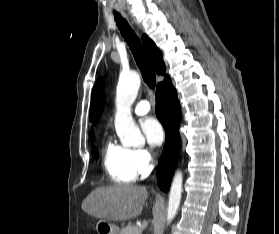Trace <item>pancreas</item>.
I'll list each match as a JSON object with an SVG mask.
<instances>
[{"label": "pancreas", "instance_id": "cf45deb5", "mask_svg": "<svg viewBox=\"0 0 279 234\" xmlns=\"http://www.w3.org/2000/svg\"><path fill=\"white\" fill-rule=\"evenodd\" d=\"M120 234H140V229L134 225H127L120 231Z\"/></svg>", "mask_w": 279, "mask_h": 234}]
</instances>
